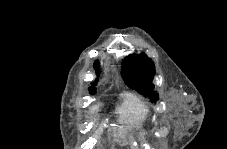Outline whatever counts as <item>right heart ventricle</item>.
Returning a JSON list of instances; mask_svg holds the SVG:
<instances>
[{
	"label": "right heart ventricle",
	"instance_id": "right-heart-ventricle-1",
	"mask_svg": "<svg viewBox=\"0 0 227 149\" xmlns=\"http://www.w3.org/2000/svg\"><path fill=\"white\" fill-rule=\"evenodd\" d=\"M116 111L121 135L130 129L147 126L150 120L149 108L133 94H126Z\"/></svg>",
	"mask_w": 227,
	"mask_h": 149
}]
</instances>
